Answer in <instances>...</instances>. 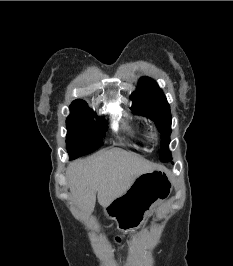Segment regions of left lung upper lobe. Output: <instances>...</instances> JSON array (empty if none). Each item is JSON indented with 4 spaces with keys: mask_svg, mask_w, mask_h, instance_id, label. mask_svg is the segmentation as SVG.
Masks as SVG:
<instances>
[{
    "mask_svg": "<svg viewBox=\"0 0 233 266\" xmlns=\"http://www.w3.org/2000/svg\"><path fill=\"white\" fill-rule=\"evenodd\" d=\"M132 110L153 120L161 132L160 160L163 162L172 159L168 149L171 134V113L165 95L157 83L148 77H142L137 91L131 95Z\"/></svg>",
    "mask_w": 233,
    "mask_h": 266,
    "instance_id": "5c2ea615",
    "label": "left lung upper lobe"
}]
</instances>
